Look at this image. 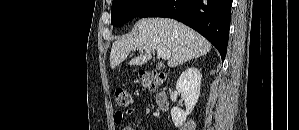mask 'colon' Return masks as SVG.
<instances>
[{
  "mask_svg": "<svg viewBox=\"0 0 299 130\" xmlns=\"http://www.w3.org/2000/svg\"><path fill=\"white\" fill-rule=\"evenodd\" d=\"M139 77L143 85L149 89H156L165 79V75L163 73L154 71H141ZM115 100L119 107L125 108L130 104V94L126 89L118 88L115 91Z\"/></svg>",
  "mask_w": 299,
  "mask_h": 130,
  "instance_id": "colon-1",
  "label": "colon"
}]
</instances>
